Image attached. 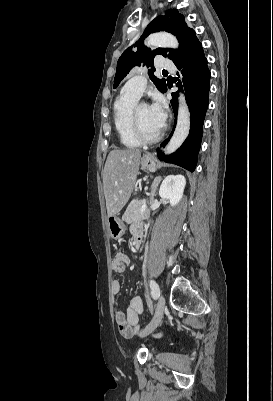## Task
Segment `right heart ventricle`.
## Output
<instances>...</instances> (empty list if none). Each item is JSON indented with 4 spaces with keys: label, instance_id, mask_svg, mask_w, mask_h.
<instances>
[{
    "label": "right heart ventricle",
    "instance_id": "obj_1",
    "mask_svg": "<svg viewBox=\"0 0 273 401\" xmlns=\"http://www.w3.org/2000/svg\"><path fill=\"white\" fill-rule=\"evenodd\" d=\"M138 98L130 94L121 93L113 103V121L116 132L122 145L128 148H137L143 145L133 134L131 129V110Z\"/></svg>",
    "mask_w": 273,
    "mask_h": 401
}]
</instances>
